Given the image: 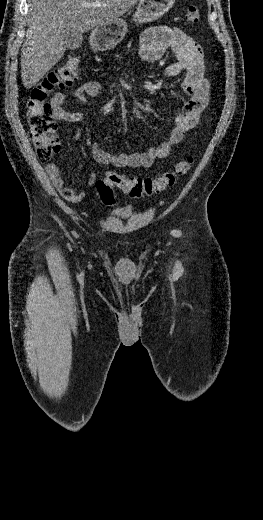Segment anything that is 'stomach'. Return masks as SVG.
I'll return each instance as SVG.
<instances>
[{
  "mask_svg": "<svg viewBox=\"0 0 263 520\" xmlns=\"http://www.w3.org/2000/svg\"><path fill=\"white\" fill-rule=\"evenodd\" d=\"M175 0H140L133 20L136 23L152 22L163 16L173 6ZM128 26L123 19L98 25L91 33L90 44L94 50L113 49L126 35Z\"/></svg>",
  "mask_w": 263,
  "mask_h": 520,
  "instance_id": "obj_1",
  "label": "stomach"
}]
</instances>
